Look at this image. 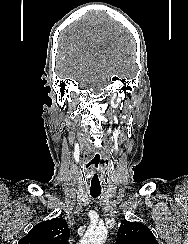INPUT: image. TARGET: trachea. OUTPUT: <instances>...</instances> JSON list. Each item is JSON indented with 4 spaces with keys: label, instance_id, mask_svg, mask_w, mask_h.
I'll return each instance as SVG.
<instances>
[{
    "label": "trachea",
    "instance_id": "obj_1",
    "mask_svg": "<svg viewBox=\"0 0 188 244\" xmlns=\"http://www.w3.org/2000/svg\"><path fill=\"white\" fill-rule=\"evenodd\" d=\"M96 175H94L95 177ZM90 189V195L93 198H98L100 194L103 191V184L102 180H92L91 183L89 184Z\"/></svg>",
    "mask_w": 188,
    "mask_h": 244
}]
</instances>
